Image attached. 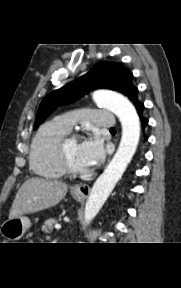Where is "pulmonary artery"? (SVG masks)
Here are the masks:
<instances>
[{"mask_svg":"<svg viewBox=\"0 0 181 288\" xmlns=\"http://www.w3.org/2000/svg\"><path fill=\"white\" fill-rule=\"evenodd\" d=\"M56 121L67 131H70L72 126L78 121H88L93 125L108 129L114 127L115 123L114 115L109 111L101 109L67 112L57 117Z\"/></svg>","mask_w":181,"mask_h":288,"instance_id":"obj_1","label":"pulmonary artery"}]
</instances>
